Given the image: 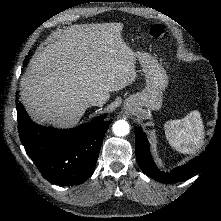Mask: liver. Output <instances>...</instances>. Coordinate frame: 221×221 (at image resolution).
Wrapping results in <instances>:
<instances>
[{"instance_id": "obj_1", "label": "liver", "mask_w": 221, "mask_h": 221, "mask_svg": "<svg viewBox=\"0 0 221 221\" xmlns=\"http://www.w3.org/2000/svg\"><path fill=\"white\" fill-rule=\"evenodd\" d=\"M121 23L76 24L40 47L21 78L20 99L39 123L75 125L87 100L119 91L136 77L137 52L123 40Z\"/></svg>"}]
</instances>
